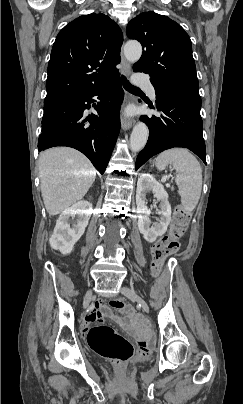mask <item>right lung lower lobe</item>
I'll use <instances>...</instances> for the list:
<instances>
[{
	"mask_svg": "<svg viewBox=\"0 0 243 404\" xmlns=\"http://www.w3.org/2000/svg\"><path fill=\"white\" fill-rule=\"evenodd\" d=\"M97 95L101 99L96 107L99 116L85 117L84 110L89 109L92 97ZM123 96L119 77H115L88 93L45 104L39 152L54 146L75 148L103 174L119 134Z\"/></svg>",
	"mask_w": 243,
	"mask_h": 404,
	"instance_id": "1",
	"label": "right lung lower lobe"
}]
</instances>
